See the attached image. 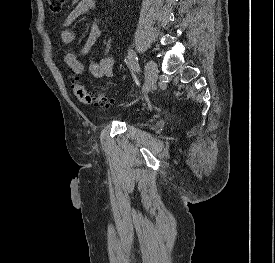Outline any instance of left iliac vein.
I'll use <instances>...</instances> for the list:
<instances>
[{"label": "left iliac vein", "instance_id": "left-iliac-vein-1", "mask_svg": "<svg viewBox=\"0 0 275 263\" xmlns=\"http://www.w3.org/2000/svg\"><path fill=\"white\" fill-rule=\"evenodd\" d=\"M145 76H146V83L144 86L143 91L147 92L157 81L158 77V66L155 61L149 60L145 64Z\"/></svg>", "mask_w": 275, "mask_h": 263}]
</instances>
